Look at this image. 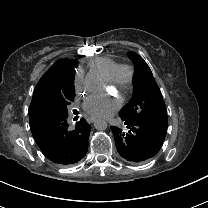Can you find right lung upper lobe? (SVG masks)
<instances>
[{"label":"right lung upper lobe","mask_w":208,"mask_h":208,"mask_svg":"<svg viewBox=\"0 0 208 208\" xmlns=\"http://www.w3.org/2000/svg\"><path fill=\"white\" fill-rule=\"evenodd\" d=\"M76 65L77 61L71 59H60L56 61L39 80L33 93L29 112H32L33 108L37 106L36 103L38 102L39 96L49 89L56 80L74 70Z\"/></svg>","instance_id":"cb5924a9"}]
</instances>
